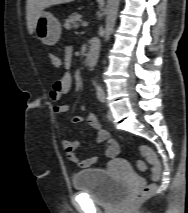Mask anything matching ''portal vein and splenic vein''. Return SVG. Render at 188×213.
Masks as SVG:
<instances>
[{
    "mask_svg": "<svg viewBox=\"0 0 188 213\" xmlns=\"http://www.w3.org/2000/svg\"><path fill=\"white\" fill-rule=\"evenodd\" d=\"M87 25H88V22H86V21H83V22H82V26H83V27H86Z\"/></svg>",
    "mask_w": 188,
    "mask_h": 213,
    "instance_id": "portal-vein-and-splenic-vein-1",
    "label": "portal vein and splenic vein"
}]
</instances>
